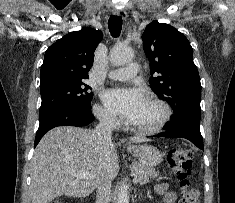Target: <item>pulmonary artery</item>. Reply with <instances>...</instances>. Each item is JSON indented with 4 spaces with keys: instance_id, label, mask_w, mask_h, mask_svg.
I'll return each mask as SVG.
<instances>
[{
    "instance_id": "1",
    "label": "pulmonary artery",
    "mask_w": 235,
    "mask_h": 203,
    "mask_svg": "<svg viewBox=\"0 0 235 203\" xmlns=\"http://www.w3.org/2000/svg\"><path fill=\"white\" fill-rule=\"evenodd\" d=\"M139 71L138 63H130L126 67L112 70L108 73V77L113 80L125 81L134 78Z\"/></svg>"
}]
</instances>
